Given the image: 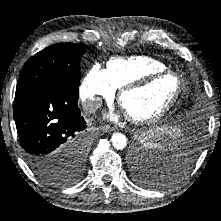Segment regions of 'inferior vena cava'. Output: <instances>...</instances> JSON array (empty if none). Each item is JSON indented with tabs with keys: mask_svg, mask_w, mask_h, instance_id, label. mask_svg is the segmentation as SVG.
<instances>
[{
	"mask_svg": "<svg viewBox=\"0 0 221 221\" xmlns=\"http://www.w3.org/2000/svg\"><path fill=\"white\" fill-rule=\"evenodd\" d=\"M83 109L86 113H95L101 106L102 101L100 99H88L82 104Z\"/></svg>",
	"mask_w": 221,
	"mask_h": 221,
	"instance_id": "1",
	"label": "inferior vena cava"
}]
</instances>
